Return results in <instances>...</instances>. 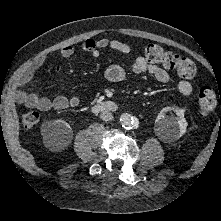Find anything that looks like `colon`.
<instances>
[{
	"instance_id": "5ec220e1",
	"label": "colon",
	"mask_w": 221,
	"mask_h": 221,
	"mask_svg": "<svg viewBox=\"0 0 221 221\" xmlns=\"http://www.w3.org/2000/svg\"><path fill=\"white\" fill-rule=\"evenodd\" d=\"M144 52L147 61L161 64L166 69L175 70L182 78L191 79L196 76L197 67L194 61L172 51H167L159 44L150 43L146 45ZM198 100L199 112L202 116L208 115L216 108L217 97L211 87H202L199 91ZM38 121L39 115L35 111L27 110L21 115V123L27 129L34 128Z\"/></svg>"
}]
</instances>
